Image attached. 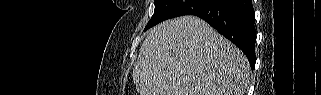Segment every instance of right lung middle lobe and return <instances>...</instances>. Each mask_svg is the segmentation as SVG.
<instances>
[{
	"mask_svg": "<svg viewBox=\"0 0 321 95\" xmlns=\"http://www.w3.org/2000/svg\"><path fill=\"white\" fill-rule=\"evenodd\" d=\"M210 0H155V10L144 31L154 25L178 16L189 15Z\"/></svg>",
	"mask_w": 321,
	"mask_h": 95,
	"instance_id": "right-lung-middle-lobe-1",
	"label": "right lung middle lobe"
}]
</instances>
